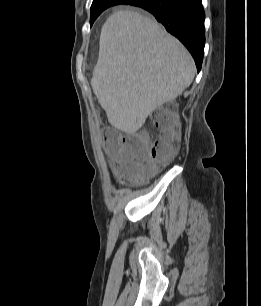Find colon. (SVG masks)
I'll return each mask as SVG.
<instances>
[{
    "mask_svg": "<svg viewBox=\"0 0 261 306\" xmlns=\"http://www.w3.org/2000/svg\"><path fill=\"white\" fill-rule=\"evenodd\" d=\"M158 136L148 146L149 137L144 132L129 135L119 142L117 135L107 136V150L114 154L118 150L128 160L143 165L139 170L130 166L119 168L118 174L127 180H145L159 168L167 164L174 156L178 138V119L174 112L167 108L158 109L153 116Z\"/></svg>",
    "mask_w": 261,
    "mask_h": 306,
    "instance_id": "colon-1",
    "label": "colon"
}]
</instances>
